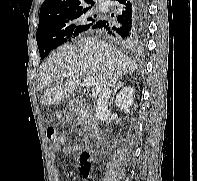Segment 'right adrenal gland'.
Returning <instances> with one entry per match:
<instances>
[{
    "label": "right adrenal gland",
    "instance_id": "right-adrenal-gland-1",
    "mask_svg": "<svg viewBox=\"0 0 197 181\" xmlns=\"http://www.w3.org/2000/svg\"><path fill=\"white\" fill-rule=\"evenodd\" d=\"M122 86H123V83H122L121 81L118 80V82H117V84H116V87H115V89H114V92H113L112 99L110 100L109 106H111V104L113 103L117 91H118Z\"/></svg>",
    "mask_w": 197,
    "mask_h": 181
}]
</instances>
